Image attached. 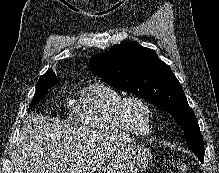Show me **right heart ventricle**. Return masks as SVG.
I'll use <instances>...</instances> for the list:
<instances>
[{"instance_id": "e07e8e85", "label": "right heart ventricle", "mask_w": 219, "mask_h": 173, "mask_svg": "<svg viewBox=\"0 0 219 173\" xmlns=\"http://www.w3.org/2000/svg\"><path fill=\"white\" fill-rule=\"evenodd\" d=\"M122 98L121 93L102 81L84 86L70 103L75 120L82 126L117 136H129L115 117V106Z\"/></svg>"}]
</instances>
